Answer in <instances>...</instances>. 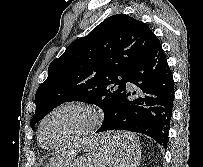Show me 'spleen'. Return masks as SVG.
<instances>
[{
    "label": "spleen",
    "instance_id": "1",
    "mask_svg": "<svg viewBox=\"0 0 203 167\" xmlns=\"http://www.w3.org/2000/svg\"><path fill=\"white\" fill-rule=\"evenodd\" d=\"M117 142H113L116 144ZM118 148L111 149L110 147H104L103 153L109 156L113 167H137L141 158V148L137 140H133L132 145L122 146L117 143ZM130 151L133 153L130 155Z\"/></svg>",
    "mask_w": 203,
    "mask_h": 167
}]
</instances>
